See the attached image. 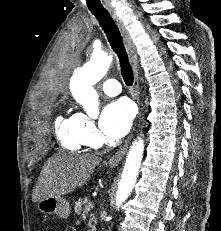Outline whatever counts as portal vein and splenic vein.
Here are the masks:
<instances>
[{"instance_id":"portal-vein-and-splenic-vein-1","label":"portal vein and splenic vein","mask_w":221,"mask_h":231,"mask_svg":"<svg viewBox=\"0 0 221 231\" xmlns=\"http://www.w3.org/2000/svg\"><path fill=\"white\" fill-rule=\"evenodd\" d=\"M93 205L94 204L92 202H88V204L86 205L85 209L89 210V209L93 208Z\"/></svg>"}]
</instances>
